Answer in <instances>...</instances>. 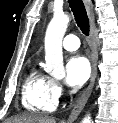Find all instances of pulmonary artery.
Here are the masks:
<instances>
[{
    "mask_svg": "<svg viewBox=\"0 0 118 123\" xmlns=\"http://www.w3.org/2000/svg\"><path fill=\"white\" fill-rule=\"evenodd\" d=\"M62 46L67 51H75L80 46V40L76 35L69 34L64 37Z\"/></svg>",
    "mask_w": 118,
    "mask_h": 123,
    "instance_id": "pulmonary-artery-1",
    "label": "pulmonary artery"
}]
</instances>
